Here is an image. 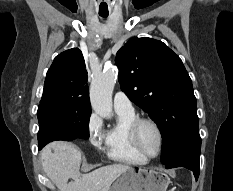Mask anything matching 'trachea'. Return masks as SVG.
Returning <instances> with one entry per match:
<instances>
[{
    "label": "trachea",
    "mask_w": 233,
    "mask_h": 191,
    "mask_svg": "<svg viewBox=\"0 0 233 191\" xmlns=\"http://www.w3.org/2000/svg\"><path fill=\"white\" fill-rule=\"evenodd\" d=\"M100 16L103 17V18H107L108 14H100Z\"/></svg>",
    "instance_id": "1"
}]
</instances>
